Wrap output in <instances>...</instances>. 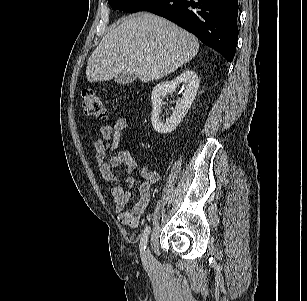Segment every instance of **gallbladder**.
<instances>
[{"label": "gallbladder", "mask_w": 307, "mask_h": 301, "mask_svg": "<svg viewBox=\"0 0 307 301\" xmlns=\"http://www.w3.org/2000/svg\"><path fill=\"white\" fill-rule=\"evenodd\" d=\"M136 79L134 74L129 72H122L115 77V82L118 84H128Z\"/></svg>", "instance_id": "1"}]
</instances>
